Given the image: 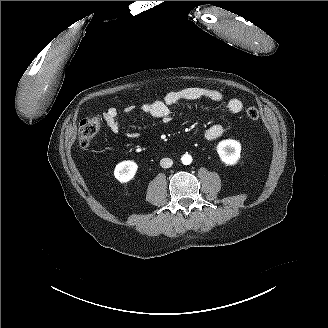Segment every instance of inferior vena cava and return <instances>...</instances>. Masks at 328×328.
<instances>
[{"label":"inferior vena cava","mask_w":328,"mask_h":328,"mask_svg":"<svg viewBox=\"0 0 328 328\" xmlns=\"http://www.w3.org/2000/svg\"><path fill=\"white\" fill-rule=\"evenodd\" d=\"M160 165L163 168H170L173 165V160L170 158H163L160 161Z\"/></svg>","instance_id":"inferior-vena-cava-1"}]
</instances>
